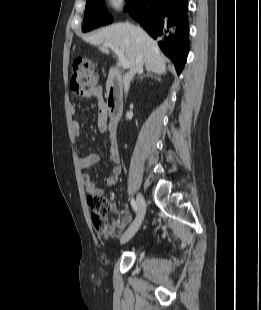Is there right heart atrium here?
<instances>
[{
	"instance_id": "1",
	"label": "right heart atrium",
	"mask_w": 261,
	"mask_h": 310,
	"mask_svg": "<svg viewBox=\"0 0 261 310\" xmlns=\"http://www.w3.org/2000/svg\"><path fill=\"white\" fill-rule=\"evenodd\" d=\"M107 4L112 11L121 12L126 5V0H107Z\"/></svg>"
}]
</instances>
